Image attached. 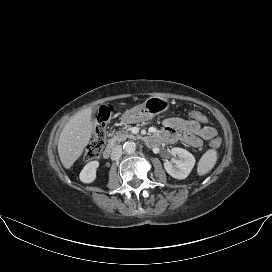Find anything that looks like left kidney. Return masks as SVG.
<instances>
[{
	"instance_id": "5707ae66",
	"label": "left kidney",
	"mask_w": 272,
	"mask_h": 272,
	"mask_svg": "<svg viewBox=\"0 0 272 272\" xmlns=\"http://www.w3.org/2000/svg\"><path fill=\"white\" fill-rule=\"evenodd\" d=\"M173 156L178 159L164 162L166 172L175 179H185L192 171L195 165L194 156L187 150L179 147L171 149Z\"/></svg>"
}]
</instances>
